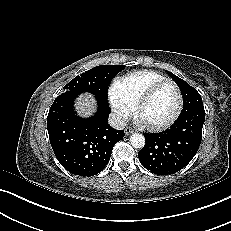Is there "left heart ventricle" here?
Masks as SVG:
<instances>
[{"instance_id":"left-heart-ventricle-1","label":"left heart ventricle","mask_w":231,"mask_h":231,"mask_svg":"<svg viewBox=\"0 0 231 231\" xmlns=\"http://www.w3.org/2000/svg\"><path fill=\"white\" fill-rule=\"evenodd\" d=\"M176 104V93L169 85L159 87L144 105L140 117L150 123L165 122L172 114Z\"/></svg>"}]
</instances>
